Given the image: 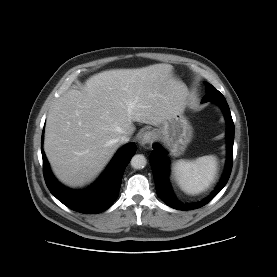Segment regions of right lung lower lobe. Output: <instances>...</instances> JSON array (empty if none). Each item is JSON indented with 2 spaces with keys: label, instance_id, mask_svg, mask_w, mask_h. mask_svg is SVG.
Masks as SVG:
<instances>
[{
  "label": "right lung lower lobe",
  "instance_id": "obj_1",
  "mask_svg": "<svg viewBox=\"0 0 277 277\" xmlns=\"http://www.w3.org/2000/svg\"><path fill=\"white\" fill-rule=\"evenodd\" d=\"M41 152L44 178L50 192L72 210L85 214H96L108 209L117 199L123 173L136 152V145L131 143L121 148L98 180L91 187L78 191L64 187L55 179L42 147Z\"/></svg>",
  "mask_w": 277,
  "mask_h": 277
}]
</instances>
